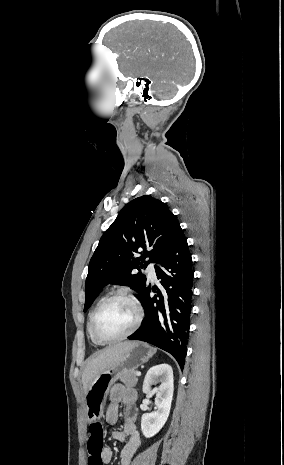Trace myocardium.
Masks as SVG:
<instances>
[{
  "label": "myocardium",
  "instance_id": "myocardium-1",
  "mask_svg": "<svg viewBox=\"0 0 284 465\" xmlns=\"http://www.w3.org/2000/svg\"><path fill=\"white\" fill-rule=\"evenodd\" d=\"M115 301H125V302H128L130 303L135 312H136V321L135 323L133 324L132 328L129 330V332H127L125 335L119 337V338H115V339H110V340H103L101 338H99L96 334V331H95V325H96V322H97V319L99 317V315L101 314V312L112 302H115ZM143 317H144V311H143V308H142V305L140 303V301L133 295L131 294H128V293H116L114 295H111L107 298H105L100 304L99 306L96 308L93 316H92V319H91V324H90V332H91V336L93 338V340L97 343V344H100V345H110V344H116V343H119V342H122L128 338H130L131 336H133L135 334V332L138 330V328L140 327L141 323H142V320H143Z\"/></svg>",
  "mask_w": 284,
  "mask_h": 465
}]
</instances>
